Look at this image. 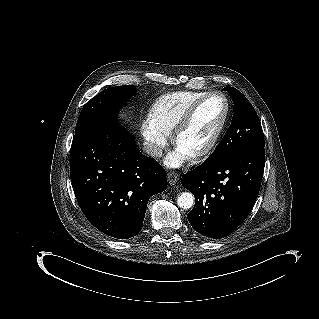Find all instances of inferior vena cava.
Instances as JSON below:
<instances>
[{
	"instance_id": "obj_1",
	"label": "inferior vena cava",
	"mask_w": 319,
	"mask_h": 319,
	"mask_svg": "<svg viewBox=\"0 0 319 319\" xmlns=\"http://www.w3.org/2000/svg\"><path fill=\"white\" fill-rule=\"evenodd\" d=\"M143 152L150 157H161L163 153L160 146L151 142L143 143Z\"/></svg>"
}]
</instances>
